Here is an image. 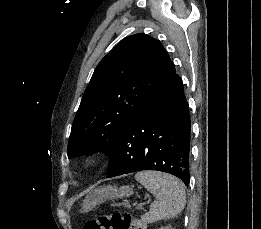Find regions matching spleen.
Returning a JSON list of instances; mask_svg holds the SVG:
<instances>
[{
	"label": "spleen",
	"instance_id": "spleen-1",
	"mask_svg": "<svg viewBox=\"0 0 261 229\" xmlns=\"http://www.w3.org/2000/svg\"><path fill=\"white\" fill-rule=\"evenodd\" d=\"M135 179L156 197L149 213L142 215L145 225L162 219H175L182 213L186 205V195L180 179L161 171H142L136 173Z\"/></svg>",
	"mask_w": 261,
	"mask_h": 229
}]
</instances>
